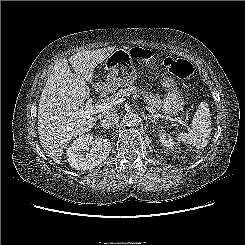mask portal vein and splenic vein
Returning <instances> with one entry per match:
<instances>
[{"mask_svg": "<svg viewBox=\"0 0 245 245\" xmlns=\"http://www.w3.org/2000/svg\"><path fill=\"white\" fill-rule=\"evenodd\" d=\"M125 99L124 98H119L116 101H105L99 105L93 106L92 99H89L85 105L84 108H82L80 111L76 112L74 114V116L76 117H81V118H88L91 115L103 112L105 110H110L113 106L122 103ZM146 109L151 112V113H155L156 111L152 108V107H147ZM177 122H179L183 127L188 128L187 123H185V121L181 120L180 118H176L175 119Z\"/></svg>", "mask_w": 245, "mask_h": 245, "instance_id": "18ae733b", "label": "portal vein and splenic vein"}]
</instances>
